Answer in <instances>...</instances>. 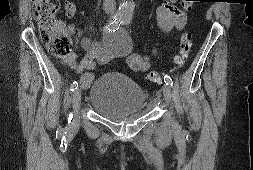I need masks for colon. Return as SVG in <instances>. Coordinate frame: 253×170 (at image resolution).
<instances>
[{"label": "colon", "instance_id": "1", "mask_svg": "<svg viewBox=\"0 0 253 170\" xmlns=\"http://www.w3.org/2000/svg\"><path fill=\"white\" fill-rule=\"evenodd\" d=\"M186 8H189L190 1L184 0ZM60 8L59 0H34L33 16L39 28L41 41L47 46L48 51L57 58L67 57L72 48L70 36L61 28L56 19ZM192 49L191 33L184 32L180 40V50L175 58L177 67H182L188 59ZM148 79L153 83H162L163 75L158 71L148 73Z\"/></svg>", "mask_w": 253, "mask_h": 170}]
</instances>
